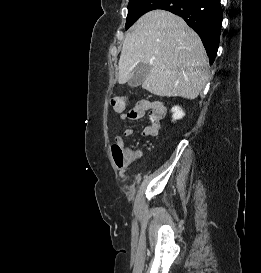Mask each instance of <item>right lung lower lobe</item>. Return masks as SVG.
Masks as SVG:
<instances>
[{
    "label": "right lung lower lobe",
    "mask_w": 261,
    "mask_h": 273,
    "mask_svg": "<svg viewBox=\"0 0 261 273\" xmlns=\"http://www.w3.org/2000/svg\"><path fill=\"white\" fill-rule=\"evenodd\" d=\"M160 7L182 17L200 36L212 64L217 55L221 32L220 0H164Z\"/></svg>",
    "instance_id": "right-lung-lower-lobe-1"
}]
</instances>
